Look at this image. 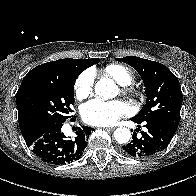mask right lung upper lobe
I'll return each instance as SVG.
<instances>
[{"instance_id":"1","label":"right lung upper lobe","mask_w":196,"mask_h":196,"mask_svg":"<svg viewBox=\"0 0 196 196\" xmlns=\"http://www.w3.org/2000/svg\"><path fill=\"white\" fill-rule=\"evenodd\" d=\"M99 62L98 58L93 59H72V58H66V59H60L54 62H48L42 65H39L32 69L30 72H35L41 69L49 68V67H55V66H65L70 67L81 73L85 69L89 68L90 66L97 64Z\"/></svg>"}]
</instances>
